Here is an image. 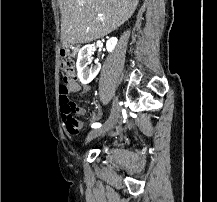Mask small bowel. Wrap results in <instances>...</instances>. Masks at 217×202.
<instances>
[{"label":"small bowel","instance_id":"obj_1","mask_svg":"<svg viewBox=\"0 0 217 202\" xmlns=\"http://www.w3.org/2000/svg\"><path fill=\"white\" fill-rule=\"evenodd\" d=\"M69 83L71 84V88H74L75 91L82 90L83 93H87L89 91L88 86H80L74 79H69ZM77 113L79 115H85L86 109L83 107H78L77 108ZM91 119L93 121H96L98 119L97 114L93 113L91 114ZM80 126L83 127L84 124L80 123ZM124 134V128L121 124L117 125L115 128V131L112 133L113 136H122Z\"/></svg>","mask_w":217,"mask_h":202}]
</instances>
